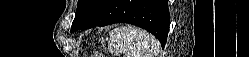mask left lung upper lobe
Listing matches in <instances>:
<instances>
[{
    "label": "left lung upper lobe",
    "mask_w": 249,
    "mask_h": 57,
    "mask_svg": "<svg viewBox=\"0 0 249 57\" xmlns=\"http://www.w3.org/2000/svg\"><path fill=\"white\" fill-rule=\"evenodd\" d=\"M107 0H78V7L71 30H76L85 21L95 15Z\"/></svg>",
    "instance_id": "5c2ea615"
}]
</instances>
